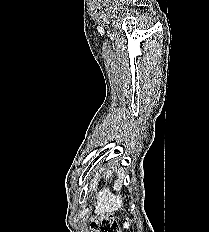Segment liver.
Instances as JSON below:
<instances>
[{"instance_id":"obj_1","label":"liver","mask_w":209,"mask_h":232,"mask_svg":"<svg viewBox=\"0 0 209 232\" xmlns=\"http://www.w3.org/2000/svg\"><path fill=\"white\" fill-rule=\"evenodd\" d=\"M113 171L108 170L104 173L103 178L106 179V181L113 177ZM114 190L117 189V184L114 185ZM96 202L94 203L95 206V212L96 213H104V212H110L115 211L123 206V198L120 193L118 195H114L110 190L109 187L104 188L103 190L96 191Z\"/></svg>"}]
</instances>
